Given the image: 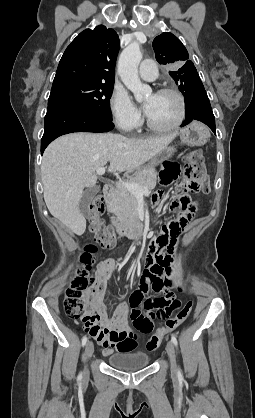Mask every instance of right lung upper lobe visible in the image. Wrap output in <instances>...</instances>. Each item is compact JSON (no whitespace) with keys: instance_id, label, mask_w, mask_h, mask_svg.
<instances>
[{"instance_id":"cb5924a9","label":"right lung upper lobe","mask_w":255,"mask_h":418,"mask_svg":"<svg viewBox=\"0 0 255 418\" xmlns=\"http://www.w3.org/2000/svg\"><path fill=\"white\" fill-rule=\"evenodd\" d=\"M119 38L103 25L81 32L65 50L53 85L68 81L114 83Z\"/></svg>"}]
</instances>
